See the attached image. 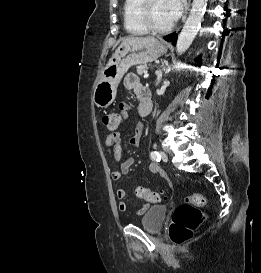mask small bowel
Returning a JSON list of instances; mask_svg holds the SVG:
<instances>
[{
	"label": "small bowel",
	"mask_w": 261,
	"mask_h": 273,
	"mask_svg": "<svg viewBox=\"0 0 261 273\" xmlns=\"http://www.w3.org/2000/svg\"><path fill=\"white\" fill-rule=\"evenodd\" d=\"M123 84L127 90L132 91L138 102H139V108L141 103V98L144 94V92L147 90L142 84L140 83L139 77L134 73H128L125 75ZM119 109L122 114V119L127 120L128 119V112L130 110V105L128 103H121L119 105ZM143 132V124L141 122H138L134 131L133 136L129 139V145L133 148H137L140 144L141 137ZM106 146H107V153L111 157V159L115 162H120L122 157V145H121V136L119 131H114L110 133L106 138ZM135 159L134 158H128L123 163L120 164V167L118 169H115L111 172V177L113 180L118 181L120 180L124 175L128 174L130 169L134 166ZM151 170L153 172L158 171L157 166L152 165ZM116 195L120 199L119 202V209L122 212H126L129 209V205L126 202V191L123 188H118L116 190ZM148 208V205L141 206L137 213L143 214L145 210Z\"/></svg>",
	"instance_id": "1"
}]
</instances>
